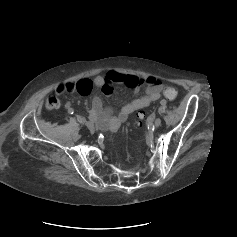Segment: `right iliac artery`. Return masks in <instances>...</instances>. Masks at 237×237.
Wrapping results in <instances>:
<instances>
[{
  "label": "right iliac artery",
  "mask_w": 237,
  "mask_h": 237,
  "mask_svg": "<svg viewBox=\"0 0 237 237\" xmlns=\"http://www.w3.org/2000/svg\"><path fill=\"white\" fill-rule=\"evenodd\" d=\"M68 113L69 114H73L74 113V109L73 108H68Z\"/></svg>",
  "instance_id": "1"
}]
</instances>
